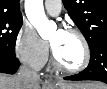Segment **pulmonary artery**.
<instances>
[{
    "mask_svg": "<svg viewBox=\"0 0 107 89\" xmlns=\"http://www.w3.org/2000/svg\"><path fill=\"white\" fill-rule=\"evenodd\" d=\"M44 6L46 11L53 16L58 15L62 7L60 0H46Z\"/></svg>",
    "mask_w": 107,
    "mask_h": 89,
    "instance_id": "pulmonary-artery-1",
    "label": "pulmonary artery"
}]
</instances>
